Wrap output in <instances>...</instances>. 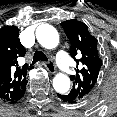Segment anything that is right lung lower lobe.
<instances>
[{
	"mask_svg": "<svg viewBox=\"0 0 117 117\" xmlns=\"http://www.w3.org/2000/svg\"><path fill=\"white\" fill-rule=\"evenodd\" d=\"M25 87H26V85L21 89V91L17 94V96L12 101H10L9 103H16L18 100H20L25 93Z\"/></svg>",
	"mask_w": 117,
	"mask_h": 117,
	"instance_id": "1",
	"label": "right lung lower lobe"
}]
</instances>
